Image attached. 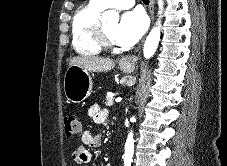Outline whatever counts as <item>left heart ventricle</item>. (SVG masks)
Wrapping results in <instances>:
<instances>
[{
    "mask_svg": "<svg viewBox=\"0 0 227 166\" xmlns=\"http://www.w3.org/2000/svg\"><path fill=\"white\" fill-rule=\"evenodd\" d=\"M103 26H104V30H105V33L107 34V36L114 40V32H115V29L117 27V22L116 21H111V20H108V19H104L103 20Z\"/></svg>",
    "mask_w": 227,
    "mask_h": 166,
    "instance_id": "obj_1",
    "label": "left heart ventricle"
}]
</instances>
